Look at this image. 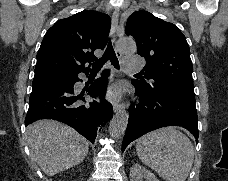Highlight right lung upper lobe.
<instances>
[{
	"mask_svg": "<svg viewBox=\"0 0 228 181\" xmlns=\"http://www.w3.org/2000/svg\"><path fill=\"white\" fill-rule=\"evenodd\" d=\"M110 17L84 10L57 21L45 34L37 54L34 80L89 70L85 64L104 49L110 31Z\"/></svg>",
	"mask_w": 228,
	"mask_h": 181,
	"instance_id": "1",
	"label": "right lung upper lobe"
}]
</instances>
